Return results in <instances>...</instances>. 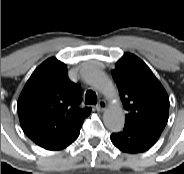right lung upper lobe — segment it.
<instances>
[{
	"label": "right lung upper lobe",
	"instance_id": "obj_1",
	"mask_svg": "<svg viewBox=\"0 0 184 174\" xmlns=\"http://www.w3.org/2000/svg\"><path fill=\"white\" fill-rule=\"evenodd\" d=\"M81 87L67 77V66L51 57L27 81L18 100L25 134L46 148L64 138L91 113L81 108Z\"/></svg>",
	"mask_w": 184,
	"mask_h": 174
}]
</instances>
